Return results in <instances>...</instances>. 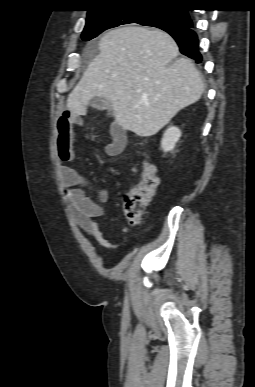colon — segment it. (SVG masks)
<instances>
[{
	"mask_svg": "<svg viewBox=\"0 0 255 387\" xmlns=\"http://www.w3.org/2000/svg\"><path fill=\"white\" fill-rule=\"evenodd\" d=\"M158 183L155 166L143 161L140 180L128 191L124 200L125 215L132 226L137 227L142 223L144 212L155 195Z\"/></svg>",
	"mask_w": 255,
	"mask_h": 387,
	"instance_id": "1",
	"label": "colon"
}]
</instances>
